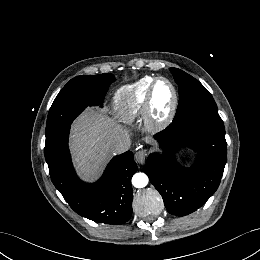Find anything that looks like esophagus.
Listing matches in <instances>:
<instances>
[{"mask_svg":"<svg viewBox=\"0 0 260 260\" xmlns=\"http://www.w3.org/2000/svg\"><path fill=\"white\" fill-rule=\"evenodd\" d=\"M147 157V151L145 149H141L135 153V161L139 164H143Z\"/></svg>","mask_w":260,"mask_h":260,"instance_id":"1","label":"esophagus"}]
</instances>
